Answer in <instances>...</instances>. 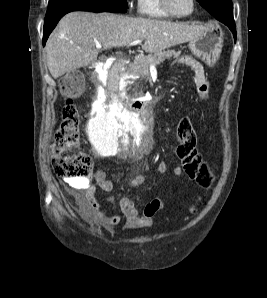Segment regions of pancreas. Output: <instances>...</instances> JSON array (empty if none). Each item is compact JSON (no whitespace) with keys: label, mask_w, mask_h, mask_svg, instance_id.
<instances>
[{"label":"pancreas","mask_w":267,"mask_h":298,"mask_svg":"<svg viewBox=\"0 0 267 298\" xmlns=\"http://www.w3.org/2000/svg\"><path fill=\"white\" fill-rule=\"evenodd\" d=\"M179 55L178 52L174 50L168 51H158L153 55H148L144 57H136L134 62L128 69V73L132 75H140L142 77L149 76V67L151 64L154 66L159 65L165 59L170 57H177Z\"/></svg>","instance_id":"1"}]
</instances>
